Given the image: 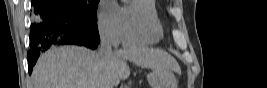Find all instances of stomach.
<instances>
[{
    "label": "stomach",
    "mask_w": 267,
    "mask_h": 88,
    "mask_svg": "<svg viewBox=\"0 0 267 88\" xmlns=\"http://www.w3.org/2000/svg\"><path fill=\"white\" fill-rule=\"evenodd\" d=\"M151 88H176V79L170 71L152 68L147 75Z\"/></svg>",
    "instance_id": "obj_1"
}]
</instances>
